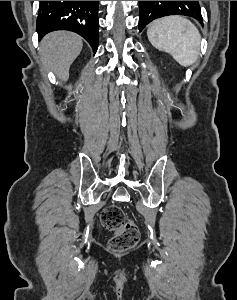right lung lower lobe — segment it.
I'll return each instance as SVG.
<instances>
[{"mask_svg": "<svg viewBox=\"0 0 237 300\" xmlns=\"http://www.w3.org/2000/svg\"><path fill=\"white\" fill-rule=\"evenodd\" d=\"M69 30L98 47V1H41L37 18L39 40L49 32Z\"/></svg>", "mask_w": 237, "mask_h": 300, "instance_id": "98d812e1", "label": "right lung lower lobe"}]
</instances>
